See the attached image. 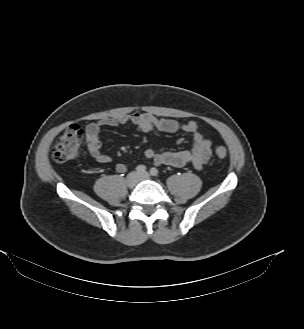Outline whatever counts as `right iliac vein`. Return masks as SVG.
Here are the masks:
<instances>
[{
	"label": "right iliac vein",
	"instance_id": "1",
	"mask_svg": "<svg viewBox=\"0 0 304 329\" xmlns=\"http://www.w3.org/2000/svg\"><path fill=\"white\" fill-rule=\"evenodd\" d=\"M138 183V176L135 172H131L128 174L127 178H126V185L129 188H133L135 187V185Z\"/></svg>",
	"mask_w": 304,
	"mask_h": 329
}]
</instances>
